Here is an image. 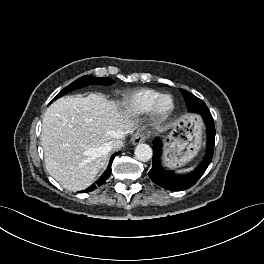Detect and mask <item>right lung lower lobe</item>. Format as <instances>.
Here are the masks:
<instances>
[{"label": "right lung lower lobe", "instance_id": "98d812e1", "mask_svg": "<svg viewBox=\"0 0 264 264\" xmlns=\"http://www.w3.org/2000/svg\"><path fill=\"white\" fill-rule=\"evenodd\" d=\"M120 152H117L115 154H113L110 158V162H109V165L106 169V171L101 175V177L94 183L92 184L89 188H87L86 190L82 191V193H85V192H90V191H93L94 189H96L97 187L101 186L102 184H104L106 182V180L108 179L110 173H111V165H112V162H113V159L115 156H117Z\"/></svg>", "mask_w": 264, "mask_h": 264}]
</instances>
